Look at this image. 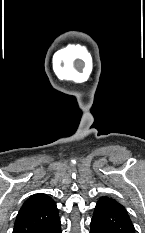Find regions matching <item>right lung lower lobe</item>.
<instances>
[{"label":"right lung lower lobe","mask_w":145,"mask_h":233,"mask_svg":"<svg viewBox=\"0 0 145 233\" xmlns=\"http://www.w3.org/2000/svg\"><path fill=\"white\" fill-rule=\"evenodd\" d=\"M60 227H61V223H60V219H58L42 233H61Z\"/></svg>","instance_id":"98d812e1"}]
</instances>
